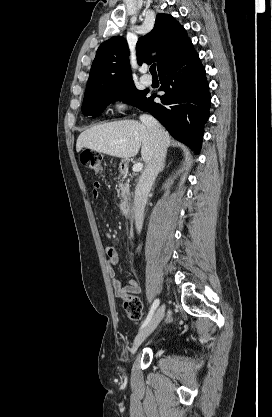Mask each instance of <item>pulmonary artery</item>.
<instances>
[{
	"label": "pulmonary artery",
	"instance_id": "pulmonary-artery-1",
	"mask_svg": "<svg viewBox=\"0 0 272 417\" xmlns=\"http://www.w3.org/2000/svg\"><path fill=\"white\" fill-rule=\"evenodd\" d=\"M141 81L145 84V85H150L152 83V79L151 77H149L148 75H143L141 77Z\"/></svg>",
	"mask_w": 272,
	"mask_h": 417
}]
</instances>
